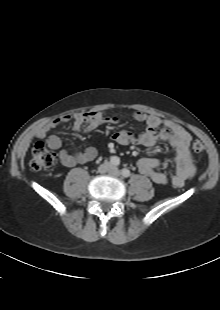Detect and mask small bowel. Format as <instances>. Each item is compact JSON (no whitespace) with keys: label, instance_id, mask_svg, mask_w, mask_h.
<instances>
[{"label":"small bowel","instance_id":"small-bowel-1","mask_svg":"<svg viewBox=\"0 0 220 310\" xmlns=\"http://www.w3.org/2000/svg\"><path fill=\"white\" fill-rule=\"evenodd\" d=\"M132 117L136 121L145 122L147 128L137 136L126 130L116 131L111 135V140L120 145L138 144L144 147L153 146L157 140L168 142L175 149V172L171 176L160 171L162 164L156 158H140L137 162L138 170L156 184L164 185L171 181L176 187L184 186L196 171L190 151L191 135L172 120L161 119L141 111L133 112ZM71 120L73 130L78 133H89L101 125L119 123V118L116 116H108L101 111H89L57 117L40 127L37 137L44 140L51 149L59 151L60 162L66 167L91 162L98 155L97 149L92 146L70 153L62 148V141L58 136L49 134L52 129Z\"/></svg>","mask_w":220,"mask_h":310}]
</instances>
